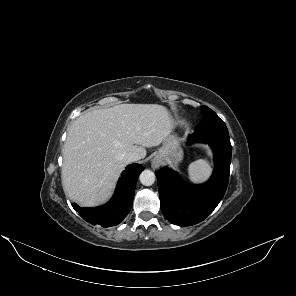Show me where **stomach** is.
<instances>
[{
  "mask_svg": "<svg viewBox=\"0 0 296 296\" xmlns=\"http://www.w3.org/2000/svg\"><path fill=\"white\" fill-rule=\"evenodd\" d=\"M157 157L162 163L173 166L178 165L183 159V151L177 136L170 134L164 141L162 147L157 152Z\"/></svg>",
  "mask_w": 296,
  "mask_h": 296,
  "instance_id": "obj_1",
  "label": "stomach"
}]
</instances>
